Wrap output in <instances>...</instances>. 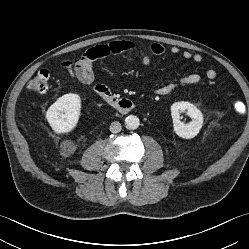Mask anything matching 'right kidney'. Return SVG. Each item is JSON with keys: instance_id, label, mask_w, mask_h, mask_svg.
Instances as JSON below:
<instances>
[{"instance_id": "right-kidney-1", "label": "right kidney", "mask_w": 249, "mask_h": 249, "mask_svg": "<svg viewBox=\"0 0 249 249\" xmlns=\"http://www.w3.org/2000/svg\"><path fill=\"white\" fill-rule=\"evenodd\" d=\"M81 110V99L78 94L69 93L58 98L53 103L46 113V118L57 134L68 133L76 126ZM64 152L68 155L75 151V146L72 142L63 143Z\"/></svg>"}]
</instances>
